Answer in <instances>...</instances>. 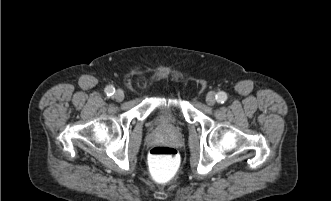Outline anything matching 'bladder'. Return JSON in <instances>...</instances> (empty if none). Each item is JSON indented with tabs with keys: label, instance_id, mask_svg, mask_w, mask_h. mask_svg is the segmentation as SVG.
Returning a JSON list of instances; mask_svg holds the SVG:
<instances>
[{
	"label": "bladder",
	"instance_id": "bladder-1",
	"mask_svg": "<svg viewBox=\"0 0 331 201\" xmlns=\"http://www.w3.org/2000/svg\"><path fill=\"white\" fill-rule=\"evenodd\" d=\"M183 93L176 88H165L157 92L152 100V118L156 122L170 118L178 120L183 111Z\"/></svg>",
	"mask_w": 331,
	"mask_h": 201
}]
</instances>
